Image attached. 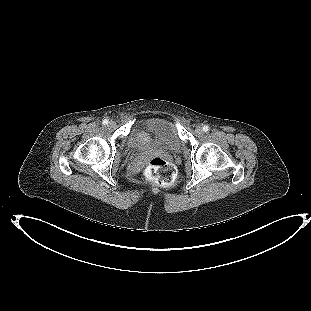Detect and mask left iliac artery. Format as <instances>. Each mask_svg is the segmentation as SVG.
<instances>
[{"label": "left iliac artery", "mask_w": 311, "mask_h": 311, "mask_svg": "<svg viewBox=\"0 0 311 311\" xmlns=\"http://www.w3.org/2000/svg\"><path fill=\"white\" fill-rule=\"evenodd\" d=\"M209 129H210V128H209V126H208V125H204V126H203V131H204V132H208V131H209Z\"/></svg>", "instance_id": "44dca946"}]
</instances>
